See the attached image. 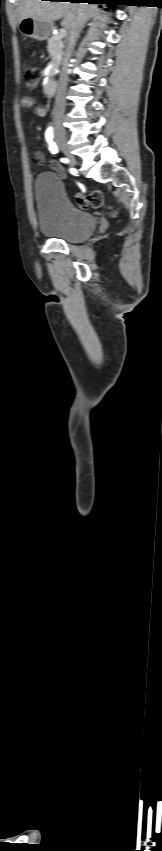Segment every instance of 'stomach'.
I'll list each match as a JSON object with an SVG mask.
<instances>
[{
    "label": "stomach",
    "mask_w": 162,
    "mask_h": 851,
    "mask_svg": "<svg viewBox=\"0 0 162 851\" xmlns=\"http://www.w3.org/2000/svg\"><path fill=\"white\" fill-rule=\"evenodd\" d=\"M19 31L25 36L38 41L47 39L53 29V23L35 20L31 17L19 22Z\"/></svg>",
    "instance_id": "obj_1"
}]
</instances>
